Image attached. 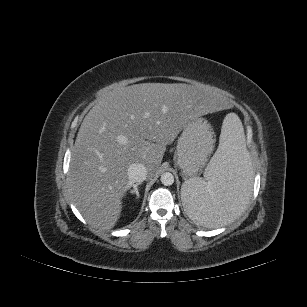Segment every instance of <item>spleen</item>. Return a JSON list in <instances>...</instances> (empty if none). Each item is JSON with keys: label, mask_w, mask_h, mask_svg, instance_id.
Returning a JSON list of instances; mask_svg holds the SVG:
<instances>
[{"label": "spleen", "mask_w": 307, "mask_h": 307, "mask_svg": "<svg viewBox=\"0 0 307 307\" xmlns=\"http://www.w3.org/2000/svg\"><path fill=\"white\" fill-rule=\"evenodd\" d=\"M252 189L249 153L239 117L226 115L219 146L204 172V178L186 180L181 187L183 206L199 225L218 228L241 214Z\"/></svg>", "instance_id": "1"}]
</instances>
